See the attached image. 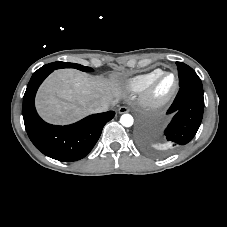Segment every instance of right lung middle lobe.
Here are the masks:
<instances>
[{
    "label": "right lung middle lobe",
    "instance_id": "1",
    "mask_svg": "<svg viewBox=\"0 0 227 227\" xmlns=\"http://www.w3.org/2000/svg\"><path fill=\"white\" fill-rule=\"evenodd\" d=\"M60 68H75L84 72H91L92 69L90 67H86V66H82L80 64H76V63H68V62H61V61H57V62H53L47 65H44L43 67H41L39 70H55V69H60Z\"/></svg>",
    "mask_w": 227,
    "mask_h": 227
}]
</instances>
